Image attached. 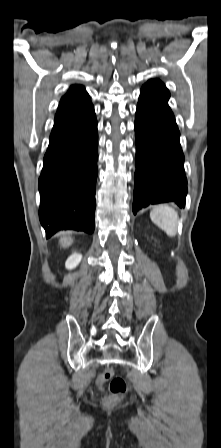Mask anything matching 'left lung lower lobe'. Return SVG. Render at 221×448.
<instances>
[{"label": "left lung lower lobe", "instance_id": "1", "mask_svg": "<svg viewBox=\"0 0 221 448\" xmlns=\"http://www.w3.org/2000/svg\"><path fill=\"white\" fill-rule=\"evenodd\" d=\"M170 95L142 87L135 116L133 213L163 202L185 206L187 179Z\"/></svg>", "mask_w": 221, "mask_h": 448}]
</instances>
